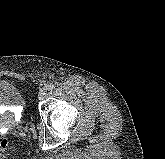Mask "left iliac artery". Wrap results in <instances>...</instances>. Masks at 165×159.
Returning <instances> with one entry per match:
<instances>
[{
  "label": "left iliac artery",
  "mask_w": 165,
  "mask_h": 159,
  "mask_svg": "<svg viewBox=\"0 0 165 159\" xmlns=\"http://www.w3.org/2000/svg\"><path fill=\"white\" fill-rule=\"evenodd\" d=\"M48 90H53L55 88V85L53 83H50L49 85H47L46 87Z\"/></svg>",
  "instance_id": "44dca946"
}]
</instances>
